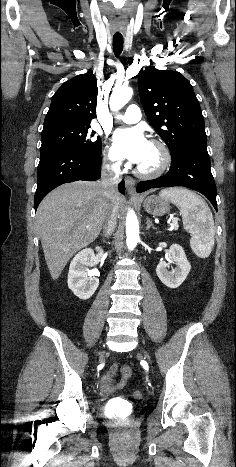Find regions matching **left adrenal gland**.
I'll return each mask as SVG.
<instances>
[{"label": "left adrenal gland", "mask_w": 236, "mask_h": 467, "mask_svg": "<svg viewBox=\"0 0 236 467\" xmlns=\"http://www.w3.org/2000/svg\"><path fill=\"white\" fill-rule=\"evenodd\" d=\"M150 228H153V229H157L154 224L150 221V219L147 217V226H146V230H149Z\"/></svg>", "instance_id": "left-adrenal-gland-1"}]
</instances>
